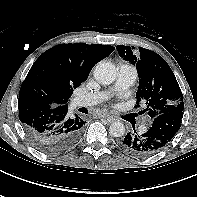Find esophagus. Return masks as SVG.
I'll return each mask as SVG.
<instances>
[{"instance_id":"34e87169","label":"esophagus","mask_w":197,"mask_h":197,"mask_svg":"<svg viewBox=\"0 0 197 197\" xmlns=\"http://www.w3.org/2000/svg\"><path fill=\"white\" fill-rule=\"evenodd\" d=\"M99 117L107 120L108 122L115 121V117L113 115H111L110 113H104V114L100 115Z\"/></svg>"}]
</instances>
